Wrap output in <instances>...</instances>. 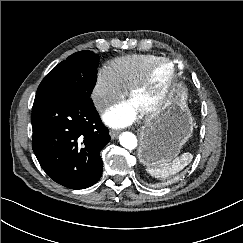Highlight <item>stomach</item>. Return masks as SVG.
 <instances>
[{
  "mask_svg": "<svg viewBox=\"0 0 243 243\" xmlns=\"http://www.w3.org/2000/svg\"><path fill=\"white\" fill-rule=\"evenodd\" d=\"M187 90L179 85L170 105L140 130L138 158L143 165L170 162L193 132V118L186 103Z\"/></svg>",
  "mask_w": 243,
  "mask_h": 243,
  "instance_id": "obj_1",
  "label": "stomach"
}]
</instances>
